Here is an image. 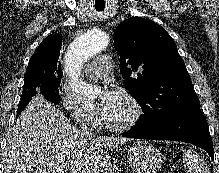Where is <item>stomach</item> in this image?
<instances>
[{"mask_svg":"<svg viewBox=\"0 0 219 173\" xmlns=\"http://www.w3.org/2000/svg\"><path fill=\"white\" fill-rule=\"evenodd\" d=\"M163 159L160 151L148 142L137 141L128 147L127 162L134 173H156Z\"/></svg>","mask_w":219,"mask_h":173,"instance_id":"obj_1","label":"stomach"}]
</instances>
